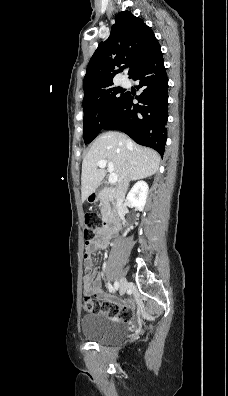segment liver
Returning <instances> with one entry per match:
<instances>
[{"label":"liver","mask_w":228,"mask_h":396,"mask_svg":"<svg viewBox=\"0 0 228 396\" xmlns=\"http://www.w3.org/2000/svg\"><path fill=\"white\" fill-rule=\"evenodd\" d=\"M160 155L134 143L125 134L106 132L98 136L82 162L81 194L84 202L100 185L106 175L105 168H98L100 160L114 165L120 179L127 169L130 180H140L155 174L159 168Z\"/></svg>","instance_id":"6515ba94"}]
</instances>
